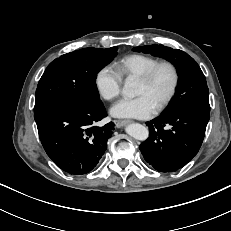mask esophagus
<instances>
[{"mask_svg":"<svg viewBox=\"0 0 231 231\" xmlns=\"http://www.w3.org/2000/svg\"><path fill=\"white\" fill-rule=\"evenodd\" d=\"M132 121L131 120H116L115 121V124L118 128H121L129 123H131Z\"/></svg>","mask_w":231,"mask_h":231,"instance_id":"obj_1","label":"esophagus"}]
</instances>
